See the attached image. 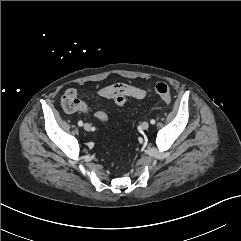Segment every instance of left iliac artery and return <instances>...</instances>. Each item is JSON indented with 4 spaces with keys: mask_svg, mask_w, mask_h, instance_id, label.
Masks as SVG:
<instances>
[{
    "mask_svg": "<svg viewBox=\"0 0 241 241\" xmlns=\"http://www.w3.org/2000/svg\"><path fill=\"white\" fill-rule=\"evenodd\" d=\"M150 123H151L152 125H154V124H155V120H154V119H151V120H150Z\"/></svg>",
    "mask_w": 241,
    "mask_h": 241,
    "instance_id": "obj_1",
    "label": "left iliac artery"
}]
</instances>
